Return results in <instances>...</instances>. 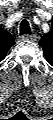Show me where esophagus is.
Listing matches in <instances>:
<instances>
[{"mask_svg": "<svg viewBox=\"0 0 53 120\" xmlns=\"http://www.w3.org/2000/svg\"><path fill=\"white\" fill-rule=\"evenodd\" d=\"M21 39L22 40H28V41H33V40H35V35H23V36H21Z\"/></svg>", "mask_w": 53, "mask_h": 120, "instance_id": "obj_1", "label": "esophagus"}]
</instances>
